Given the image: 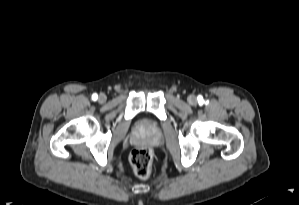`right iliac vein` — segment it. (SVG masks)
Here are the masks:
<instances>
[{"label":"right iliac vein","instance_id":"obj_1","mask_svg":"<svg viewBox=\"0 0 299 205\" xmlns=\"http://www.w3.org/2000/svg\"><path fill=\"white\" fill-rule=\"evenodd\" d=\"M98 101L100 103H104L106 101V95L105 94H100L99 98H98Z\"/></svg>","mask_w":299,"mask_h":205}]
</instances>
